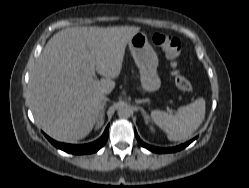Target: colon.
Masks as SVG:
<instances>
[{
	"label": "colon",
	"mask_w": 249,
	"mask_h": 188,
	"mask_svg": "<svg viewBox=\"0 0 249 188\" xmlns=\"http://www.w3.org/2000/svg\"><path fill=\"white\" fill-rule=\"evenodd\" d=\"M153 43L161 48L173 67V75L176 86L185 93H191L193 88L191 83L181 74L178 69V64L181 58V43L179 39L174 36L166 35L163 33H155L152 36Z\"/></svg>",
	"instance_id": "colon-1"
}]
</instances>
